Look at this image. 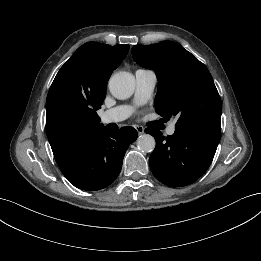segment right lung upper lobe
Wrapping results in <instances>:
<instances>
[{
	"label": "right lung upper lobe",
	"instance_id": "1",
	"mask_svg": "<svg viewBox=\"0 0 261 261\" xmlns=\"http://www.w3.org/2000/svg\"><path fill=\"white\" fill-rule=\"evenodd\" d=\"M128 50V45L88 42L57 73L46 100V133L61 171L104 130L96 111L105 99L111 73Z\"/></svg>",
	"mask_w": 261,
	"mask_h": 261
}]
</instances>
